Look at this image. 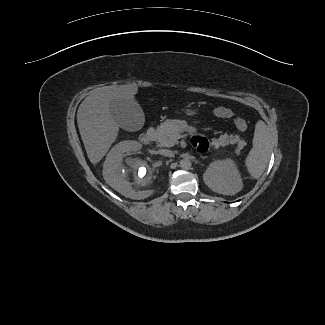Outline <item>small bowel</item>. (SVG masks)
I'll return each instance as SVG.
<instances>
[{"instance_id":"obj_1","label":"small bowel","mask_w":325,"mask_h":325,"mask_svg":"<svg viewBox=\"0 0 325 325\" xmlns=\"http://www.w3.org/2000/svg\"><path fill=\"white\" fill-rule=\"evenodd\" d=\"M192 144L199 153L207 152L210 147L208 139L202 136L193 137Z\"/></svg>"}]
</instances>
